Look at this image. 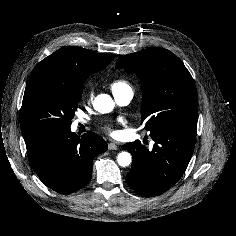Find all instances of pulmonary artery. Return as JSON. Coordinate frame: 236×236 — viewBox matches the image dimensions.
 Returning a JSON list of instances; mask_svg holds the SVG:
<instances>
[{"instance_id":"1","label":"pulmonary artery","mask_w":236,"mask_h":236,"mask_svg":"<svg viewBox=\"0 0 236 236\" xmlns=\"http://www.w3.org/2000/svg\"><path fill=\"white\" fill-rule=\"evenodd\" d=\"M114 97L118 104L126 105L131 101L133 97V92L131 90H127V91L115 93ZM80 122L84 123V121H80Z\"/></svg>"}]
</instances>
